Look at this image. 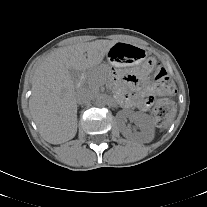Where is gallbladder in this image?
I'll list each match as a JSON object with an SVG mask.
<instances>
[{"instance_id":"1","label":"gallbladder","mask_w":207,"mask_h":207,"mask_svg":"<svg viewBox=\"0 0 207 207\" xmlns=\"http://www.w3.org/2000/svg\"><path fill=\"white\" fill-rule=\"evenodd\" d=\"M70 73L73 75L75 73V71L71 69L70 70Z\"/></svg>"}]
</instances>
